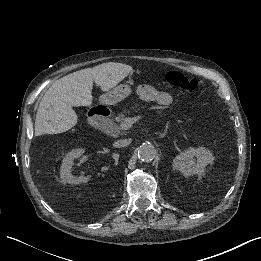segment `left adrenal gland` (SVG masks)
<instances>
[{
  "label": "left adrenal gland",
  "instance_id": "a2214340",
  "mask_svg": "<svg viewBox=\"0 0 261 261\" xmlns=\"http://www.w3.org/2000/svg\"><path fill=\"white\" fill-rule=\"evenodd\" d=\"M168 130H169V127H167V128L165 129V132L162 133V134L159 136V138H164V137L167 135Z\"/></svg>",
  "mask_w": 261,
  "mask_h": 261
}]
</instances>
